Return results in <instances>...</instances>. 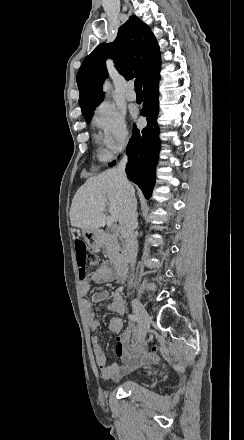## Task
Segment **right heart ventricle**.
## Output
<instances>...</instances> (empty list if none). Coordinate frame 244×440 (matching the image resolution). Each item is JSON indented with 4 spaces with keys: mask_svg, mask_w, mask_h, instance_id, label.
Here are the masks:
<instances>
[{
    "mask_svg": "<svg viewBox=\"0 0 244 440\" xmlns=\"http://www.w3.org/2000/svg\"><path fill=\"white\" fill-rule=\"evenodd\" d=\"M94 139H95L96 143H100V136L99 135H95Z\"/></svg>",
    "mask_w": 244,
    "mask_h": 440,
    "instance_id": "right-heart-ventricle-1",
    "label": "right heart ventricle"
}]
</instances>
